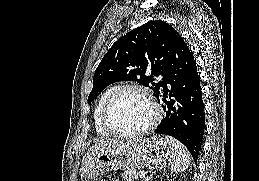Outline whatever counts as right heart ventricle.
Returning <instances> with one entry per match:
<instances>
[{
    "instance_id": "e07e8e85",
    "label": "right heart ventricle",
    "mask_w": 259,
    "mask_h": 181,
    "mask_svg": "<svg viewBox=\"0 0 259 181\" xmlns=\"http://www.w3.org/2000/svg\"><path fill=\"white\" fill-rule=\"evenodd\" d=\"M115 89V87H110L108 89H106L99 97L94 110H93V123L95 126V130L97 132L98 135L102 136V137H110L112 136V134L107 130V128L104 126L103 122H102V111H103V107L108 99V97L110 96V94L113 92V90Z\"/></svg>"
}]
</instances>
